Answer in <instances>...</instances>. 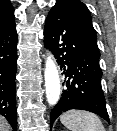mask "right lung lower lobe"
<instances>
[{
	"label": "right lung lower lobe",
	"instance_id": "1",
	"mask_svg": "<svg viewBox=\"0 0 117 131\" xmlns=\"http://www.w3.org/2000/svg\"><path fill=\"white\" fill-rule=\"evenodd\" d=\"M17 39L16 27L0 35V114L8 120L13 130L17 128Z\"/></svg>",
	"mask_w": 117,
	"mask_h": 131
}]
</instances>
